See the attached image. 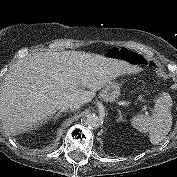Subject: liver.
<instances>
[{
  "instance_id": "1",
  "label": "liver",
  "mask_w": 177,
  "mask_h": 177,
  "mask_svg": "<svg viewBox=\"0 0 177 177\" xmlns=\"http://www.w3.org/2000/svg\"><path fill=\"white\" fill-rule=\"evenodd\" d=\"M137 71L126 61L82 51L27 55L8 70L0 86L3 131L8 136L28 132L62 103L86 104L113 79Z\"/></svg>"
}]
</instances>
